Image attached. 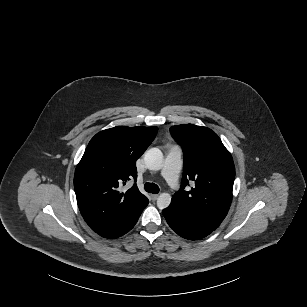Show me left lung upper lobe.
Returning a JSON list of instances; mask_svg holds the SVG:
<instances>
[{
	"instance_id": "5c2ea615",
	"label": "left lung upper lobe",
	"mask_w": 307,
	"mask_h": 307,
	"mask_svg": "<svg viewBox=\"0 0 307 307\" xmlns=\"http://www.w3.org/2000/svg\"><path fill=\"white\" fill-rule=\"evenodd\" d=\"M170 132L184 152L182 186L172 202L195 221L215 230L227 215L232 201L235 178L232 156L209 128L186 124L172 126ZM188 179L195 185L185 191Z\"/></svg>"
}]
</instances>
